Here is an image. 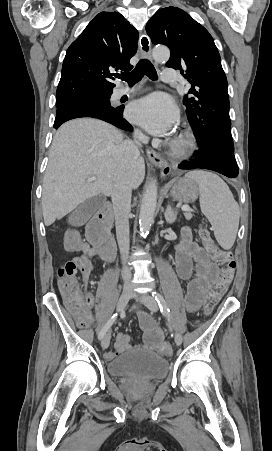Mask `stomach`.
Masks as SVG:
<instances>
[{
	"label": "stomach",
	"mask_w": 272,
	"mask_h": 451,
	"mask_svg": "<svg viewBox=\"0 0 272 451\" xmlns=\"http://www.w3.org/2000/svg\"><path fill=\"white\" fill-rule=\"evenodd\" d=\"M170 196L178 202H185V204H192L199 196V188L196 182L188 180V178H179L175 182L172 190H170Z\"/></svg>",
	"instance_id": "0dacf381"
}]
</instances>
